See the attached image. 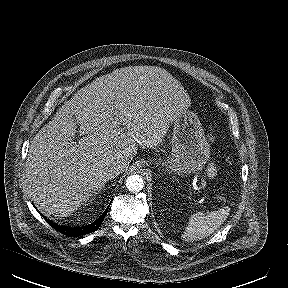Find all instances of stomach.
Segmentation results:
<instances>
[{"mask_svg":"<svg viewBox=\"0 0 288 288\" xmlns=\"http://www.w3.org/2000/svg\"><path fill=\"white\" fill-rule=\"evenodd\" d=\"M209 158L210 145L200 120L194 112L186 110L174 121L170 157L165 161H156L155 165L183 176L203 169Z\"/></svg>","mask_w":288,"mask_h":288,"instance_id":"0dacf381","label":"stomach"}]
</instances>
